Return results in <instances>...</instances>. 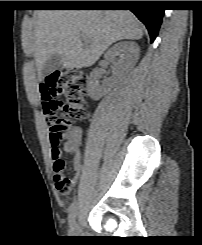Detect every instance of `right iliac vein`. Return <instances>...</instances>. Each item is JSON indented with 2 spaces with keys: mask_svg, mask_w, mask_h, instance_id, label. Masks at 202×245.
Listing matches in <instances>:
<instances>
[{
  "mask_svg": "<svg viewBox=\"0 0 202 245\" xmlns=\"http://www.w3.org/2000/svg\"><path fill=\"white\" fill-rule=\"evenodd\" d=\"M70 234L72 236H81V232L79 230V226L76 222H73L70 228Z\"/></svg>",
  "mask_w": 202,
  "mask_h": 245,
  "instance_id": "63e3f726",
  "label": "right iliac vein"
}]
</instances>
